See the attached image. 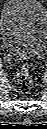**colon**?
<instances>
[{"label": "colon", "mask_w": 47, "mask_h": 129, "mask_svg": "<svg viewBox=\"0 0 47 129\" xmlns=\"http://www.w3.org/2000/svg\"><path fill=\"white\" fill-rule=\"evenodd\" d=\"M33 86V79L28 66H24L13 78L12 87L16 92L26 93Z\"/></svg>", "instance_id": "1"}]
</instances>
